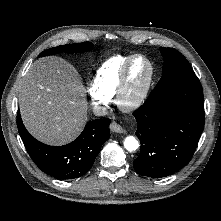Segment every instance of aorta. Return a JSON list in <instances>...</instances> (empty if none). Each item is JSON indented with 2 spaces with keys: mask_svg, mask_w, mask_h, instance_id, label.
<instances>
[{
  "mask_svg": "<svg viewBox=\"0 0 221 221\" xmlns=\"http://www.w3.org/2000/svg\"><path fill=\"white\" fill-rule=\"evenodd\" d=\"M124 147L129 152H132L138 149L139 143L134 136H127L124 140Z\"/></svg>",
  "mask_w": 221,
  "mask_h": 221,
  "instance_id": "762f6f07",
  "label": "aorta"
}]
</instances>
